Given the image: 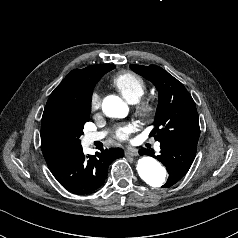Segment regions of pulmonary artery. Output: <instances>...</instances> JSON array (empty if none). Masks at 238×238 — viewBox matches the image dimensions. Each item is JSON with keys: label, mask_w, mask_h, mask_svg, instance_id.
Returning <instances> with one entry per match:
<instances>
[{"label": "pulmonary artery", "mask_w": 238, "mask_h": 238, "mask_svg": "<svg viewBox=\"0 0 238 238\" xmlns=\"http://www.w3.org/2000/svg\"><path fill=\"white\" fill-rule=\"evenodd\" d=\"M104 136H105V132H103V131H101V132H90V133H87L84 136V142L86 144H92L95 141L103 139ZM155 149L156 150L160 149V143L155 144Z\"/></svg>", "instance_id": "pulmonary-artery-1"}]
</instances>
